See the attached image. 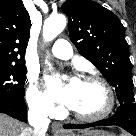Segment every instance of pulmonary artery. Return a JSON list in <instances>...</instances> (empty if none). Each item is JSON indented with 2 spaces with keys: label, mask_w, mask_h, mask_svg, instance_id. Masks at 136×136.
Instances as JSON below:
<instances>
[{
  "label": "pulmonary artery",
  "mask_w": 136,
  "mask_h": 136,
  "mask_svg": "<svg viewBox=\"0 0 136 136\" xmlns=\"http://www.w3.org/2000/svg\"><path fill=\"white\" fill-rule=\"evenodd\" d=\"M51 53L60 59H69L72 54V47L70 43L65 39H58L52 46Z\"/></svg>",
  "instance_id": "pulmonary-artery-1"
}]
</instances>
